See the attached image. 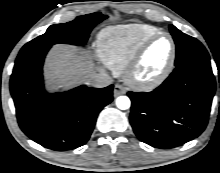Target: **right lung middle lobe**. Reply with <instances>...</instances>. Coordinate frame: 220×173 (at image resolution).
I'll list each match as a JSON object with an SVG mask.
<instances>
[{
    "mask_svg": "<svg viewBox=\"0 0 220 173\" xmlns=\"http://www.w3.org/2000/svg\"><path fill=\"white\" fill-rule=\"evenodd\" d=\"M105 18L107 16L96 12L79 16L68 23L52 25L47 29L46 33L24 45L19 54L36 51L57 43L85 44L93 27Z\"/></svg>",
    "mask_w": 220,
    "mask_h": 173,
    "instance_id": "1",
    "label": "right lung middle lobe"
}]
</instances>
